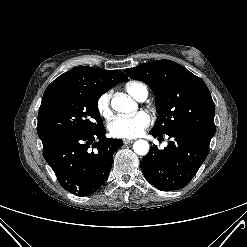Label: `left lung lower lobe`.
Listing matches in <instances>:
<instances>
[{
  "instance_id": "0a47b994",
  "label": "left lung lower lobe",
  "mask_w": 247,
  "mask_h": 247,
  "mask_svg": "<svg viewBox=\"0 0 247 247\" xmlns=\"http://www.w3.org/2000/svg\"><path fill=\"white\" fill-rule=\"evenodd\" d=\"M154 137L163 134L150 132ZM170 142L163 150L153 146L140 162L147 181L162 191L184 188L195 176L208 155L212 137L203 133L177 129L167 133Z\"/></svg>"
}]
</instances>
